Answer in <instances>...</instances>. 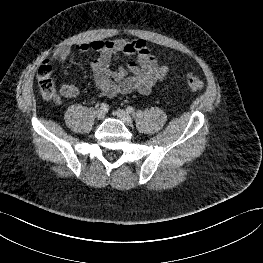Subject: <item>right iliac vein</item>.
Here are the masks:
<instances>
[{
  "label": "right iliac vein",
  "instance_id": "obj_1",
  "mask_svg": "<svg viewBox=\"0 0 263 263\" xmlns=\"http://www.w3.org/2000/svg\"><path fill=\"white\" fill-rule=\"evenodd\" d=\"M95 114L98 120H102L105 117V111L103 109H98Z\"/></svg>",
  "mask_w": 263,
  "mask_h": 263
}]
</instances>
